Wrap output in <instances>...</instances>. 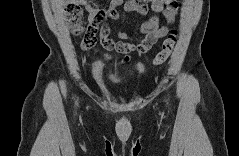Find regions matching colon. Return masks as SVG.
Returning a JSON list of instances; mask_svg holds the SVG:
<instances>
[{"label": "colon", "instance_id": "obj_1", "mask_svg": "<svg viewBox=\"0 0 239 156\" xmlns=\"http://www.w3.org/2000/svg\"><path fill=\"white\" fill-rule=\"evenodd\" d=\"M64 13L67 19V23L71 31L80 35L86 31V35H90L91 39L87 42L86 47L90 48L91 43L94 40V35L98 32V27L95 22L88 23L87 25L83 21V10L77 3H68L65 6ZM106 11H99L96 15V21L103 22L107 17ZM177 41V32L172 30L164 41L161 50L154 57L153 63L155 65L163 64L171 55L173 48Z\"/></svg>", "mask_w": 239, "mask_h": 156}]
</instances>
